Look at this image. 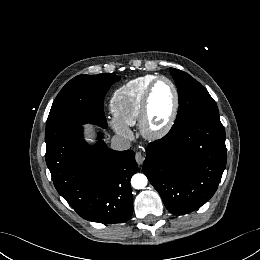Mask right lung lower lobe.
Segmentation results:
<instances>
[{"instance_id":"obj_1","label":"right lung lower lobe","mask_w":260,"mask_h":260,"mask_svg":"<svg viewBox=\"0 0 260 260\" xmlns=\"http://www.w3.org/2000/svg\"><path fill=\"white\" fill-rule=\"evenodd\" d=\"M82 132V126L69 131L46 151L53 183L84 219L123 223L133 212L130 179L138 169L135 153L108 149L102 141L89 147Z\"/></svg>"}]
</instances>
